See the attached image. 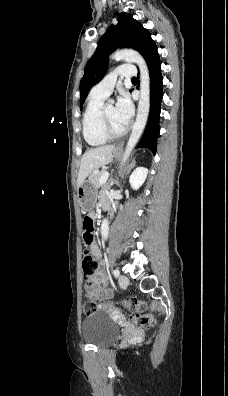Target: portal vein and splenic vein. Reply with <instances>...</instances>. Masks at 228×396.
I'll return each instance as SVG.
<instances>
[{
  "instance_id": "1",
  "label": "portal vein and splenic vein",
  "mask_w": 228,
  "mask_h": 396,
  "mask_svg": "<svg viewBox=\"0 0 228 396\" xmlns=\"http://www.w3.org/2000/svg\"><path fill=\"white\" fill-rule=\"evenodd\" d=\"M108 177H109V172H107V171L104 172L100 178V184L101 185L104 184L107 181Z\"/></svg>"
}]
</instances>
